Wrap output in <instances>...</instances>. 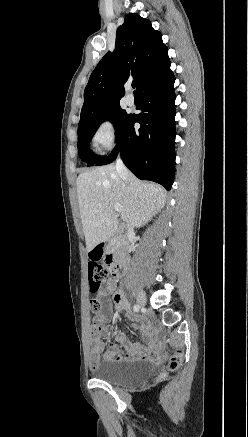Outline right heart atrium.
<instances>
[{
  "label": "right heart atrium",
  "mask_w": 248,
  "mask_h": 437,
  "mask_svg": "<svg viewBox=\"0 0 248 437\" xmlns=\"http://www.w3.org/2000/svg\"><path fill=\"white\" fill-rule=\"evenodd\" d=\"M116 140L117 128L115 122L109 117L101 119L91 136L93 147L99 152H104L111 149Z\"/></svg>",
  "instance_id": "obj_1"
}]
</instances>
